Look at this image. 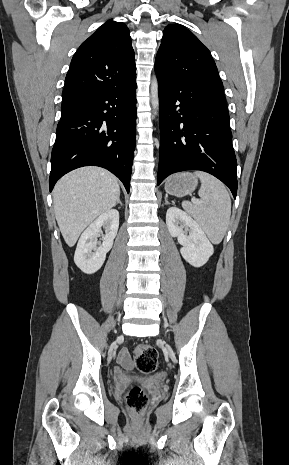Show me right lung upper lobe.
Listing matches in <instances>:
<instances>
[{
    "label": "right lung upper lobe",
    "instance_id": "1",
    "mask_svg": "<svg viewBox=\"0 0 289 465\" xmlns=\"http://www.w3.org/2000/svg\"><path fill=\"white\" fill-rule=\"evenodd\" d=\"M136 76L134 50L128 27L107 21L74 54L62 92V106L79 104L114 90Z\"/></svg>",
    "mask_w": 289,
    "mask_h": 465
}]
</instances>
